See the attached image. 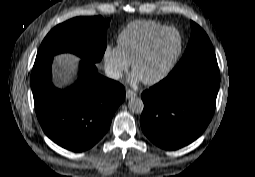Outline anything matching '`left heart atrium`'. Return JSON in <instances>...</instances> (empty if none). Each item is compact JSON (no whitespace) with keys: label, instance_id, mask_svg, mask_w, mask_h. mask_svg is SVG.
<instances>
[{"label":"left heart atrium","instance_id":"1","mask_svg":"<svg viewBox=\"0 0 255 177\" xmlns=\"http://www.w3.org/2000/svg\"><path fill=\"white\" fill-rule=\"evenodd\" d=\"M140 81H142V79L140 78V76L136 73L133 72L130 77H129V83L131 85H137Z\"/></svg>","mask_w":255,"mask_h":177}]
</instances>
